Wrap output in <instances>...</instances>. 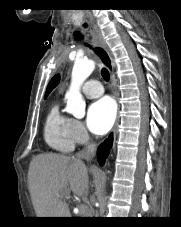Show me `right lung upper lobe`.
<instances>
[{
  "label": "right lung upper lobe",
  "mask_w": 181,
  "mask_h": 227,
  "mask_svg": "<svg viewBox=\"0 0 181 227\" xmlns=\"http://www.w3.org/2000/svg\"><path fill=\"white\" fill-rule=\"evenodd\" d=\"M59 83V76L55 75L48 84L47 91L45 93V97L52 91L53 88Z\"/></svg>",
  "instance_id": "right-lung-upper-lobe-1"
}]
</instances>
